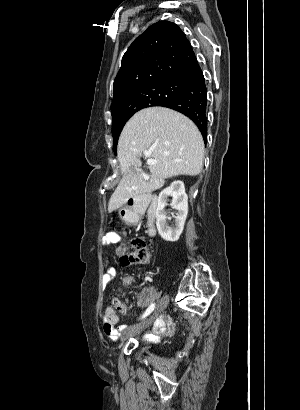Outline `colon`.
I'll list each match as a JSON object with an SVG mask.
<instances>
[{"label":"colon","instance_id":"colon-1","mask_svg":"<svg viewBox=\"0 0 300 410\" xmlns=\"http://www.w3.org/2000/svg\"><path fill=\"white\" fill-rule=\"evenodd\" d=\"M150 258V247L142 237H134L130 240L129 250L121 257L123 266H136L145 264Z\"/></svg>","mask_w":300,"mask_h":410}]
</instances>
